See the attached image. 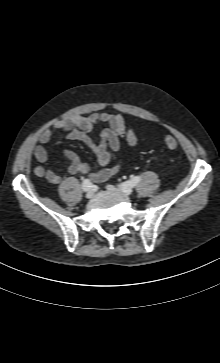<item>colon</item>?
Wrapping results in <instances>:
<instances>
[{"label": "colon", "instance_id": "1", "mask_svg": "<svg viewBox=\"0 0 220 363\" xmlns=\"http://www.w3.org/2000/svg\"><path fill=\"white\" fill-rule=\"evenodd\" d=\"M164 142L168 149H175L177 147V141L170 135L165 137Z\"/></svg>", "mask_w": 220, "mask_h": 363}]
</instances>
